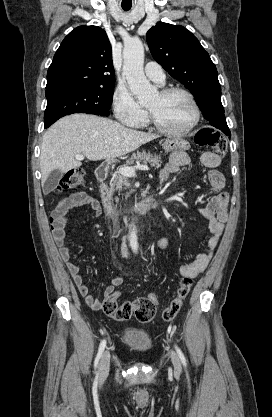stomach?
<instances>
[{
	"instance_id": "1",
	"label": "stomach",
	"mask_w": 272,
	"mask_h": 417,
	"mask_svg": "<svg viewBox=\"0 0 272 417\" xmlns=\"http://www.w3.org/2000/svg\"><path fill=\"white\" fill-rule=\"evenodd\" d=\"M162 146L165 152H171L175 150H187L189 143L181 138H171L165 140Z\"/></svg>"
}]
</instances>
